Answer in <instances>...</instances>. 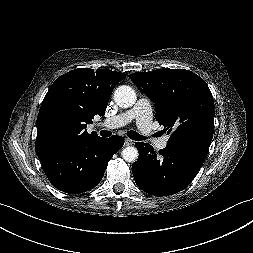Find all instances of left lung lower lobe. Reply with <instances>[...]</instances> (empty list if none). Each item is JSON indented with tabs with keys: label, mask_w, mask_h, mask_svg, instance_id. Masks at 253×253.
I'll list each match as a JSON object with an SVG mask.
<instances>
[{
	"label": "left lung lower lobe",
	"mask_w": 253,
	"mask_h": 253,
	"mask_svg": "<svg viewBox=\"0 0 253 253\" xmlns=\"http://www.w3.org/2000/svg\"><path fill=\"white\" fill-rule=\"evenodd\" d=\"M139 157L133 164L137 186L155 196L176 194L194 179L208 154V147L192 145L159 150L144 142H136Z\"/></svg>",
	"instance_id": "obj_1"
}]
</instances>
